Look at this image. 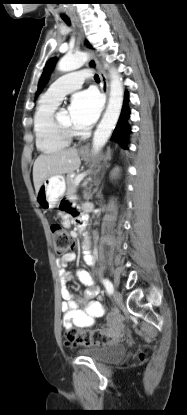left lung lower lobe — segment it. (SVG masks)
Segmentation results:
<instances>
[{
	"mask_svg": "<svg viewBox=\"0 0 187 415\" xmlns=\"http://www.w3.org/2000/svg\"><path fill=\"white\" fill-rule=\"evenodd\" d=\"M129 93L125 91L123 108L120 114L118 123L111 136V141H115L120 144L123 148L127 149L128 145V134L130 133V127L127 124V118L130 115V109L128 108Z\"/></svg>",
	"mask_w": 187,
	"mask_h": 415,
	"instance_id": "1",
	"label": "left lung lower lobe"
}]
</instances>
